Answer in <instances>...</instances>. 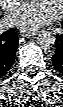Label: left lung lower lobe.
Here are the masks:
<instances>
[{"mask_svg": "<svg viewBox=\"0 0 63 107\" xmlns=\"http://www.w3.org/2000/svg\"><path fill=\"white\" fill-rule=\"evenodd\" d=\"M63 28V23H62ZM56 51L52 56V63L54 68L63 74V33L57 36L56 39Z\"/></svg>", "mask_w": 63, "mask_h": 107, "instance_id": "obj_1", "label": "left lung lower lobe"}]
</instances>
